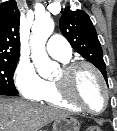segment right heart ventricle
<instances>
[{
  "label": "right heart ventricle",
  "mask_w": 117,
  "mask_h": 131,
  "mask_svg": "<svg viewBox=\"0 0 117 131\" xmlns=\"http://www.w3.org/2000/svg\"><path fill=\"white\" fill-rule=\"evenodd\" d=\"M63 63H68V60H60ZM39 101L46 103L48 105L64 108L70 111L78 112L80 111L78 108L66 102L59 94L57 87L54 81H46V88L39 98Z\"/></svg>",
  "instance_id": "e07e8e85"
}]
</instances>
